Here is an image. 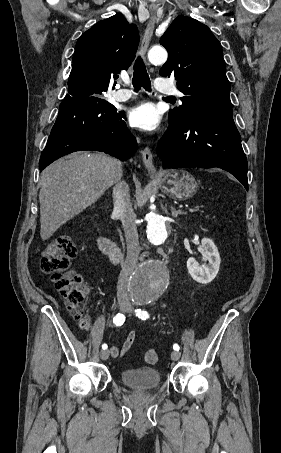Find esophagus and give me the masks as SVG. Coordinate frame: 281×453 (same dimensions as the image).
<instances>
[{
    "label": "esophagus",
    "mask_w": 281,
    "mask_h": 453,
    "mask_svg": "<svg viewBox=\"0 0 281 453\" xmlns=\"http://www.w3.org/2000/svg\"><path fill=\"white\" fill-rule=\"evenodd\" d=\"M149 11H150V20H149L146 32H145V34L143 36L141 47H140V52H141V56L142 57H144L146 52H147L150 40H151L152 35H153V30H154V27H155V20H156L157 10L156 9H150ZM141 154H142L143 163L146 166V168L148 170V173L151 174V175L155 174L156 173V168H155V166L153 164V155L151 153V150L148 147H145L142 150Z\"/></svg>",
    "instance_id": "34e87169"
}]
</instances>
